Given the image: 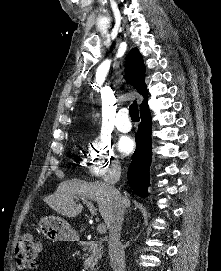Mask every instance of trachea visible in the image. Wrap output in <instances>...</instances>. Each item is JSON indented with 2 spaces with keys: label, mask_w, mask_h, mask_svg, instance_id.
Returning a JSON list of instances; mask_svg holds the SVG:
<instances>
[{
  "label": "trachea",
  "mask_w": 221,
  "mask_h": 271,
  "mask_svg": "<svg viewBox=\"0 0 221 271\" xmlns=\"http://www.w3.org/2000/svg\"><path fill=\"white\" fill-rule=\"evenodd\" d=\"M129 115L131 117V120L133 121H139V111H138V104L137 101H133L132 105L129 107Z\"/></svg>",
  "instance_id": "obj_1"
}]
</instances>
